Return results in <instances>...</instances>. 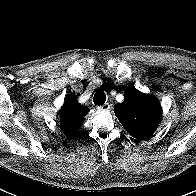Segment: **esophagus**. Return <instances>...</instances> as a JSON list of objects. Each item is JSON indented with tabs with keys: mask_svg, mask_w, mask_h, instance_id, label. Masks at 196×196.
<instances>
[{
	"mask_svg": "<svg viewBox=\"0 0 196 196\" xmlns=\"http://www.w3.org/2000/svg\"><path fill=\"white\" fill-rule=\"evenodd\" d=\"M98 109H109L110 108V105L109 103H105L103 105H98L96 106Z\"/></svg>",
	"mask_w": 196,
	"mask_h": 196,
	"instance_id": "obj_1",
	"label": "esophagus"
}]
</instances>
